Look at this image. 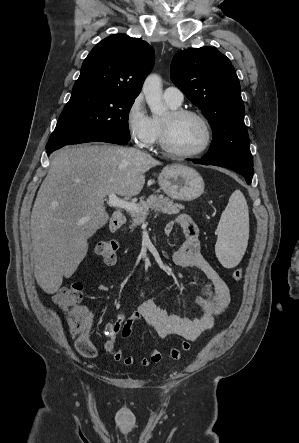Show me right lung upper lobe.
<instances>
[{
    "label": "right lung upper lobe",
    "instance_id": "right-lung-upper-lobe-1",
    "mask_svg": "<svg viewBox=\"0 0 299 443\" xmlns=\"http://www.w3.org/2000/svg\"><path fill=\"white\" fill-rule=\"evenodd\" d=\"M154 64V49L125 34L100 41L84 60L73 90H102L137 97Z\"/></svg>",
    "mask_w": 299,
    "mask_h": 443
}]
</instances>
